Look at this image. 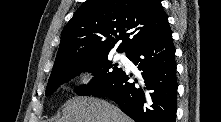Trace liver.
Returning a JSON list of instances; mask_svg holds the SVG:
<instances>
[{
	"label": "liver",
	"mask_w": 221,
	"mask_h": 122,
	"mask_svg": "<svg viewBox=\"0 0 221 122\" xmlns=\"http://www.w3.org/2000/svg\"><path fill=\"white\" fill-rule=\"evenodd\" d=\"M59 122H131L118 107L92 97H73L62 110Z\"/></svg>",
	"instance_id": "obj_1"
}]
</instances>
